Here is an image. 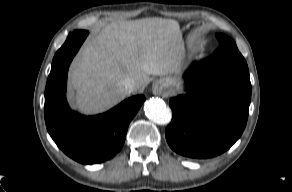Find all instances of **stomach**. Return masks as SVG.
Segmentation results:
<instances>
[{
    "label": "stomach",
    "mask_w": 292,
    "mask_h": 192,
    "mask_svg": "<svg viewBox=\"0 0 292 192\" xmlns=\"http://www.w3.org/2000/svg\"><path fill=\"white\" fill-rule=\"evenodd\" d=\"M161 83L169 94H174L181 89V82L176 77H165Z\"/></svg>",
    "instance_id": "1"
}]
</instances>
